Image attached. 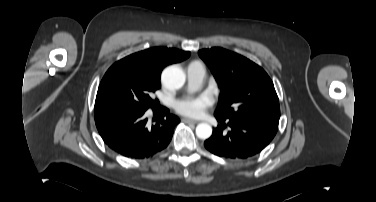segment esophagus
Returning <instances> with one entry per match:
<instances>
[{
  "instance_id": "obj_1",
  "label": "esophagus",
  "mask_w": 376,
  "mask_h": 202,
  "mask_svg": "<svg viewBox=\"0 0 376 202\" xmlns=\"http://www.w3.org/2000/svg\"><path fill=\"white\" fill-rule=\"evenodd\" d=\"M182 121H184L186 123H193V124H197L198 123L197 120H193V119H190V118H183Z\"/></svg>"
}]
</instances>
